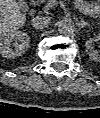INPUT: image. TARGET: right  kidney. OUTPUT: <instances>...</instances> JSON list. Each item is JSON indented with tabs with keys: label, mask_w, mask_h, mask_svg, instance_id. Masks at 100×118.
I'll return each mask as SVG.
<instances>
[{
	"label": "right kidney",
	"mask_w": 100,
	"mask_h": 118,
	"mask_svg": "<svg viewBox=\"0 0 100 118\" xmlns=\"http://www.w3.org/2000/svg\"><path fill=\"white\" fill-rule=\"evenodd\" d=\"M13 47L11 42H13ZM30 37L21 31H12L0 38V54L6 58H15L25 53L29 47Z\"/></svg>",
	"instance_id": "1"
}]
</instances>
